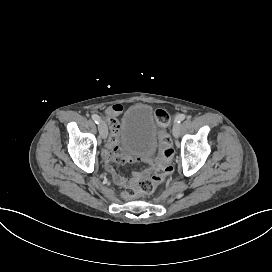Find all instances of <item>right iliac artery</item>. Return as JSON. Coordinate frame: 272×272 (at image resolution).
Returning a JSON list of instances; mask_svg holds the SVG:
<instances>
[{
	"label": "right iliac artery",
	"mask_w": 272,
	"mask_h": 272,
	"mask_svg": "<svg viewBox=\"0 0 272 272\" xmlns=\"http://www.w3.org/2000/svg\"><path fill=\"white\" fill-rule=\"evenodd\" d=\"M92 119L95 121L96 124H99L100 121H101L100 117L98 115H95V114L92 115Z\"/></svg>",
	"instance_id": "obj_1"
}]
</instances>
